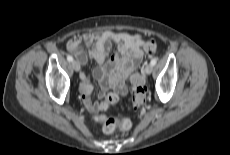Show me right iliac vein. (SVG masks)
<instances>
[{"mask_svg":"<svg viewBox=\"0 0 230 155\" xmlns=\"http://www.w3.org/2000/svg\"><path fill=\"white\" fill-rule=\"evenodd\" d=\"M71 65L75 71H80V64L76 60L72 61Z\"/></svg>","mask_w":230,"mask_h":155,"instance_id":"63e3f726","label":"right iliac vein"}]
</instances>
